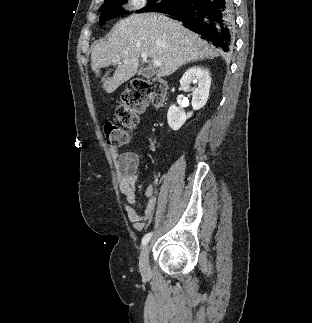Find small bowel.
<instances>
[{"mask_svg": "<svg viewBox=\"0 0 312 323\" xmlns=\"http://www.w3.org/2000/svg\"><path fill=\"white\" fill-rule=\"evenodd\" d=\"M111 156L114 160L119 189L125 196L124 209L128 220L136 230H142L152 223L156 217L158 199L153 185L146 189L147 206L142 214H139L135 206L136 180L140 170V158L133 152H120L111 149Z\"/></svg>", "mask_w": 312, "mask_h": 323, "instance_id": "c3829d8e", "label": "small bowel"}]
</instances>
